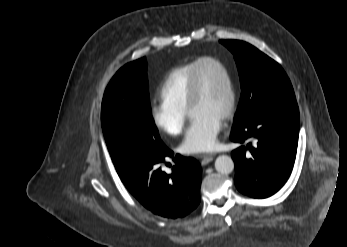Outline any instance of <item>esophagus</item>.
Instances as JSON below:
<instances>
[{"label": "esophagus", "mask_w": 347, "mask_h": 247, "mask_svg": "<svg viewBox=\"0 0 347 247\" xmlns=\"http://www.w3.org/2000/svg\"><path fill=\"white\" fill-rule=\"evenodd\" d=\"M199 158H201L202 164L206 165L209 162L213 161V154L212 153L201 154V155H199Z\"/></svg>", "instance_id": "1"}]
</instances>
